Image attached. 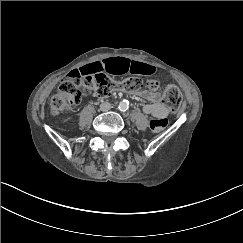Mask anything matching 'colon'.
I'll return each mask as SVG.
<instances>
[{
  "label": "colon",
  "instance_id": "5ec220e1",
  "mask_svg": "<svg viewBox=\"0 0 243 243\" xmlns=\"http://www.w3.org/2000/svg\"><path fill=\"white\" fill-rule=\"evenodd\" d=\"M159 88L160 85L155 80L144 82L138 77L113 80L102 72L84 73L73 70L53 95L50 102V113L52 116L69 113L81 102L84 96L106 97L119 90L127 93H137L144 89L156 92ZM162 102L170 111H177L182 104V95L179 89L174 85L167 86L162 94ZM167 125L168 120L165 118H156L150 122V127L155 132L164 130Z\"/></svg>",
  "mask_w": 243,
  "mask_h": 243
}]
</instances>
